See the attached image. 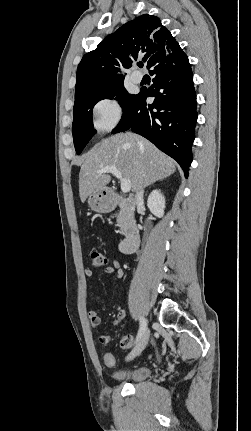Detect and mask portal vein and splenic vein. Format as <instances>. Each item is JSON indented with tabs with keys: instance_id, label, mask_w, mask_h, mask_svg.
<instances>
[{
	"instance_id": "1",
	"label": "portal vein and splenic vein",
	"mask_w": 251,
	"mask_h": 431,
	"mask_svg": "<svg viewBox=\"0 0 251 431\" xmlns=\"http://www.w3.org/2000/svg\"><path fill=\"white\" fill-rule=\"evenodd\" d=\"M99 174L102 173H112L121 182V190L123 193H127L131 190V181L129 179L123 178L121 172L115 166H107L96 171Z\"/></svg>"
}]
</instances>
